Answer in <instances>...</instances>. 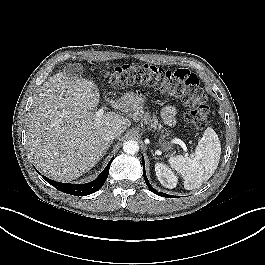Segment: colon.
Instances as JSON below:
<instances>
[{"instance_id": "colon-1", "label": "colon", "mask_w": 265, "mask_h": 265, "mask_svg": "<svg viewBox=\"0 0 265 265\" xmlns=\"http://www.w3.org/2000/svg\"><path fill=\"white\" fill-rule=\"evenodd\" d=\"M110 82L120 88L135 84L155 87L179 98L187 106V122L196 128L207 124L209 107L202 97L199 78L187 69H166L149 64H124L110 76Z\"/></svg>"}]
</instances>
